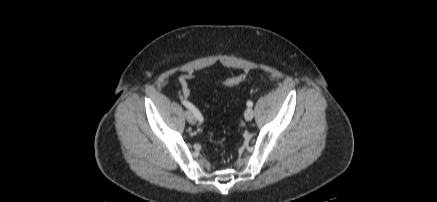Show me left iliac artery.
<instances>
[{
  "mask_svg": "<svg viewBox=\"0 0 437 202\" xmlns=\"http://www.w3.org/2000/svg\"><path fill=\"white\" fill-rule=\"evenodd\" d=\"M247 106H248V107H252V106H253V102H252V101H248V102H247Z\"/></svg>",
  "mask_w": 437,
  "mask_h": 202,
  "instance_id": "obj_1",
  "label": "left iliac artery"
}]
</instances>
